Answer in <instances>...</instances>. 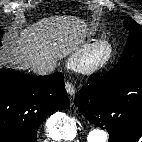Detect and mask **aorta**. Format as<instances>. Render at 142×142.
I'll return each mask as SVG.
<instances>
[{"mask_svg":"<svg viewBox=\"0 0 142 142\" xmlns=\"http://www.w3.org/2000/svg\"><path fill=\"white\" fill-rule=\"evenodd\" d=\"M106 141H107L106 131L99 128L92 129L87 137V142H106Z\"/></svg>","mask_w":142,"mask_h":142,"instance_id":"1","label":"aorta"}]
</instances>
